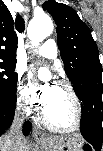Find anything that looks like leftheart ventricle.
Masks as SVG:
<instances>
[{"label": "left heart ventricle", "mask_w": 103, "mask_h": 151, "mask_svg": "<svg viewBox=\"0 0 103 151\" xmlns=\"http://www.w3.org/2000/svg\"><path fill=\"white\" fill-rule=\"evenodd\" d=\"M46 117L57 126H70L74 122L75 111L68 92L55 86L49 103L43 107Z\"/></svg>", "instance_id": "1"}]
</instances>
